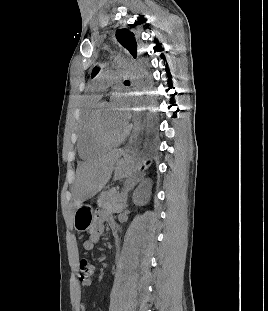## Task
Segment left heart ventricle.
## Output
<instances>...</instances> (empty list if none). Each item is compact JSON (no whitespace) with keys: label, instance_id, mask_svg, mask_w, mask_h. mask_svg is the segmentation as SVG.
Segmentation results:
<instances>
[{"label":"left heart ventricle","instance_id":"obj_1","mask_svg":"<svg viewBox=\"0 0 268 311\" xmlns=\"http://www.w3.org/2000/svg\"><path fill=\"white\" fill-rule=\"evenodd\" d=\"M101 126L108 138L116 139L123 133L126 125L118 119L111 104L103 103Z\"/></svg>","mask_w":268,"mask_h":311}]
</instances>
